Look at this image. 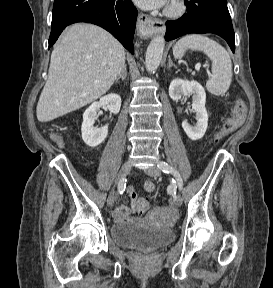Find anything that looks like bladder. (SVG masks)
<instances>
[{
    "mask_svg": "<svg viewBox=\"0 0 273 288\" xmlns=\"http://www.w3.org/2000/svg\"><path fill=\"white\" fill-rule=\"evenodd\" d=\"M110 238L119 248L152 251L171 243L175 233L172 229H157L140 222H125L111 226Z\"/></svg>",
    "mask_w": 273,
    "mask_h": 288,
    "instance_id": "bladder-1",
    "label": "bladder"
}]
</instances>
